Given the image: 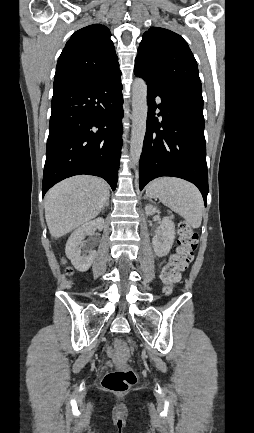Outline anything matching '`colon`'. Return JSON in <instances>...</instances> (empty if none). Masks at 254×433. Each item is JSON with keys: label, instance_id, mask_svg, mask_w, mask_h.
I'll list each match as a JSON object with an SVG mask.
<instances>
[{"label": "colon", "instance_id": "1", "mask_svg": "<svg viewBox=\"0 0 254 433\" xmlns=\"http://www.w3.org/2000/svg\"><path fill=\"white\" fill-rule=\"evenodd\" d=\"M178 233V247L161 270V280L170 288L178 283L179 272L192 260L198 246V235L189 223L180 222ZM117 348L120 355H123L126 351V345L121 340L117 341ZM136 379V374L132 369L119 367L104 375L102 385L109 392L125 393L136 383Z\"/></svg>", "mask_w": 254, "mask_h": 433}]
</instances>
